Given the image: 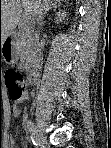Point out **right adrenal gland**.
I'll list each match as a JSON object with an SVG mask.
<instances>
[{"label": "right adrenal gland", "mask_w": 111, "mask_h": 148, "mask_svg": "<svg viewBox=\"0 0 111 148\" xmlns=\"http://www.w3.org/2000/svg\"><path fill=\"white\" fill-rule=\"evenodd\" d=\"M57 4H58V6H60V0H57V1H55L54 3H52L51 2V4H50V6H48V8L45 10V13H44V16H43V18L44 17H46V15H47V13L50 11V10H56V8H57Z\"/></svg>", "instance_id": "2a0ac1e0"}]
</instances>
